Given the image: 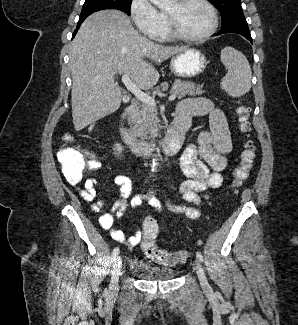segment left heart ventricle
<instances>
[{
  "instance_id": "left-heart-ventricle-1",
  "label": "left heart ventricle",
  "mask_w": 298,
  "mask_h": 325,
  "mask_svg": "<svg viewBox=\"0 0 298 325\" xmlns=\"http://www.w3.org/2000/svg\"><path fill=\"white\" fill-rule=\"evenodd\" d=\"M162 7L171 12L178 30L188 37L203 34L210 25L207 10L195 1L190 0L177 4L167 0L163 1Z\"/></svg>"
}]
</instances>
